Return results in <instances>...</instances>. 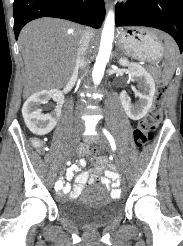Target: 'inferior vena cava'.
Here are the masks:
<instances>
[{
	"mask_svg": "<svg viewBox=\"0 0 183 246\" xmlns=\"http://www.w3.org/2000/svg\"><path fill=\"white\" fill-rule=\"evenodd\" d=\"M92 34L90 30H85L81 35L79 48L76 56V63L74 68V73L78 72L80 68H83L85 65V57L87 55L89 44L91 40Z\"/></svg>",
	"mask_w": 183,
	"mask_h": 246,
	"instance_id": "inferior-vena-cava-1",
	"label": "inferior vena cava"
}]
</instances>
